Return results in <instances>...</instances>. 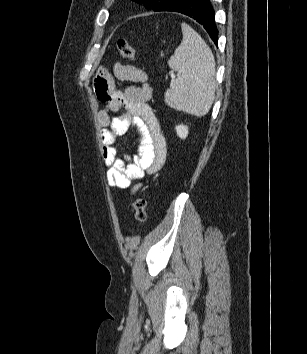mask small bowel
Wrapping results in <instances>:
<instances>
[{
    "mask_svg": "<svg viewBox=\"0 0 307 354\" xmlns=\"http://www.w3.org/2000/svg\"><path fill=\"white\" fill-rule=\"evenodd\" d=\"M113 73L119 81L139 84L118 86L105 71L99 72L95 78L99 101L108 102L97 113L102 128V156L107 167V182L111 187L126 189L146 173L154 174L164 165L167 145L157 118L148 104L152 90L147 74L122 63L114 66ZM119 111H122L120 115L111 116V113ZM130 129L136 134L138 154L123 160L118 156L116 140ZM138 188L135 186L133 192Z\"/></svg>",
    "mask_w": 307,
    "mask_h": 354,
    "instance_id": "1",
    "label": "small bowel"
}]
</instances>
